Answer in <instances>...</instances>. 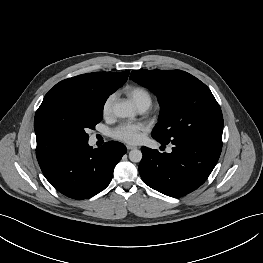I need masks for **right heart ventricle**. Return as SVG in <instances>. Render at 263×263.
I'll list each match as a JSON object with an SVG mask.
<instances>
[{"label":"right heart ventricle","mask_w":263,"mask_h":263,"mask_svg":"<svg viewBox=\"0 0 263 263\" xmlns=\"http://www.w3.org/2000/svg\"><path fill=\"white\" fill-rule=\"evenodd\" d=\"M123 92L138 109H148L152 104V94L145 87L138 85H127L124 87Z\"/></svg>","instance_id":"right-heart-ventricle-1"}]
</instances>
